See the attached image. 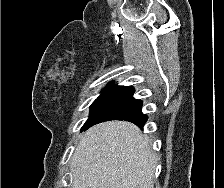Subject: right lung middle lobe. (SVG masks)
<instances>
[{
    "mask_svg": "<svg viewBox=\"0 0 224 188\" xmlns=\"http://www.w3.org/2000/svg\"><path fill=\"white\" fill-rule=\"evenodd\" d=\"M125 87L124 86H114L113 83L109 84L101 93V95L93 102L91 105L90 116L88 120L83 125L81 131L85 130L94 115L114 96L120 93Z\"/></svg>",
    "mask_w": 224,
    "mask_h": 188,
    "instance_id": "dd1d6c3e",
    "label": "right lung middle lobe"
}]
</instances>
